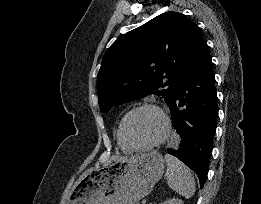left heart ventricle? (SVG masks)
Instances as JSON below:
<instances>
[{
	"instance_id": "obj_1",
	"label": "left heart ventricle",
	"mask_w": 261,
	"mask_h": 204,
	"mask_svg": "<svg viewBox=\"0 0 261 204\" xmlns=\"http://www.w3.org/2000/svg\"><path fill=\"white\" fill-rule=\"evenodd\" d=\"M161 131V119L151 110H142L132 114L124 126L126 140L136 146L154 141Z\"/></svg>"
}]
</instances>
